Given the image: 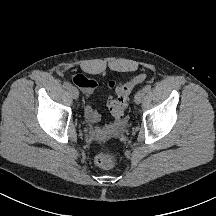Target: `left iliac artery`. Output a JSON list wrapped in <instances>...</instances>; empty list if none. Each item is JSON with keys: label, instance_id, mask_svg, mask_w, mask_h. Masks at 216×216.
Listing matches in <instances>:
<instances>
[{"label": "left iliac artery", "instance_id": "obj_1", "mask_svg": "<svg viewBox=\"0 0 216 216\" xmlns=\"http://www.w3.org/2000/svg\"><path fill=\"white\" fill-rule=\"evenodd\" d=\"M151 89H152V88H151V86H150V85H146V86L144 87V89H143V90H144L145 92H150V91H151Z\"/></svg>", "mask_w": 216, "mask_h": 216}]
</instances>
